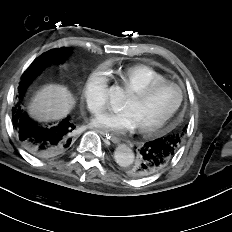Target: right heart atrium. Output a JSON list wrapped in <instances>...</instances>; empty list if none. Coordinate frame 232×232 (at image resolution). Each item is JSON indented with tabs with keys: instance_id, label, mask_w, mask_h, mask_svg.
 <instances>
[{
	"instance_id": "1",
	"label": "right heart atrium",
	"mask_w": 232,
	"mask_h": 232,
	"mask_svg": "<svg viewBox=\"0 0 232 232\" xmlns=\"http://www.w3.org/2000/svg\"><path fill=\"white\" fill-rule=\"evenodd\" d=\"M82 95L93 113L106 107L108 103V75L103 68L96 69L89 75Z\"/></svg>"
}]
</instances>
